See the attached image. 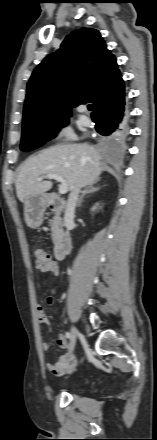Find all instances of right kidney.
<instances>
[{"instance_id":"right-kidney-1","label":"right kidney","mask_w":157,"mask_h":440,"mask_svg":"<svg viewBox=\"0 0 157 440\" xmlns=\"http://www.w3.org/2000/svg\"><path fill=\"white\" fill-rule=\"evenodd\" d=\"M97 205H98V204H96V205L92 208L93 211L96 209Z\"/></svg>"}]
</instances>
